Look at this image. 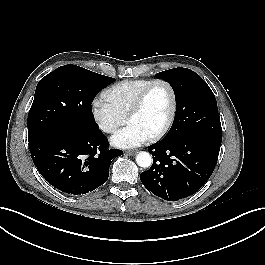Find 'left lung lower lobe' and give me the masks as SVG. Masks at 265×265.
I'll use <instances>...</instances> for the list:
<instances>
[{
    "mask_svg": "<svg viewBox=\"0 0 265 265\" xmlns=\"http://www.w3.org/2000/svg\"><path fill=\"white\" fill-rule=\"evenodd\" d=\"M221 141L199 134H186L150 146L153 164L141 173L148 191L176 201L197 192L211 176Z\"/></svg>",
    "mask_w": 265,
    "mask_h": 265,
    "instance_id": "1",
    "label": "left lung lower lobe"
}]
</instances>
